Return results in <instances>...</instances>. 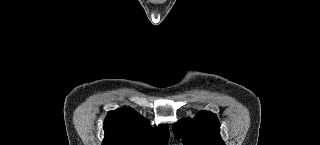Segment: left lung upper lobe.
<instances>
[{
    "instance_id": "1",
    "label": "left lung upper lobe",
    "mask_w": 320,
    "mask_h": 145,
    "mask_svg": "<svg viewBox=\"0 0 320 145\" xmlns=\"http://www.w3.org/2000/svg\"><path fill=\"white\" fill-rule=\"evenodd\" d=\"M219 127L215 114L201 111L192 120L178 121L173 130L185 145H225L219 135Z\"/></svg>"
}]
</instances>
